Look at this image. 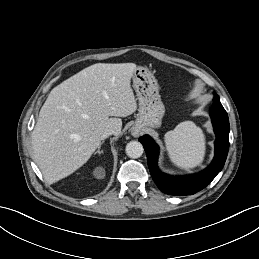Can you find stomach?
I'll return each instance as SVG.
<instances>
[{
  "instance_id": "obj_1",
  "label": "stomach",
  "mask_w": 259,
  "mask_h": 259,
  "mask_svg": "<svg viewBox=\"0 0 259 259\" xmlns=\"http://www.w3.org/2000/svg\"><path fill=\"white\" fill-rule=\"evenodd\" d=\"M132 81L138 100V114L132 131H153L161 126L165 113L157 80L149 70L138 67L132 74Z\"/></svg>"
}]
</instances>
